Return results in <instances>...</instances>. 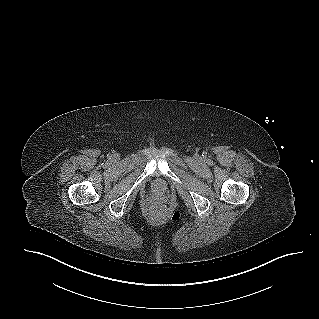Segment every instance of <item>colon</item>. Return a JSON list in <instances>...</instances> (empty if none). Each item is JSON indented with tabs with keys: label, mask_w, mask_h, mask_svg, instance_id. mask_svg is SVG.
I'll return each instance as SVG.
<instances>
[{
	"label": "colon",
	"mask_w": 319,
	"mask_h": 319,
	"mask_svg": "<svg viewBox=\"0 0 319 319\" xmlns=\"http://www.w3.org/2000/svg\"><path fill=\"white\" fill-rule=\"evenodd\" d=\"M155 209L157 211H166L167 210L165 204H163L161 202H158V203L155 204Z\"/></svg>",
	"instance_id": "1"
}]
</instances>
